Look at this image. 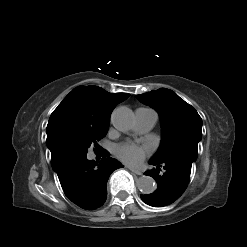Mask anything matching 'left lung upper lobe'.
I'll return each mask as SVG.
<instances>
[{
	"label": "left lung upper lobe",
	"mask_w": 247,
	"mask_h": 247,
	"mask_svg": "<svg viewBox=\"0 0 247 247\" xmlns=\"http://www.w3.org/2000/svg\"><path fill=\"white\" fill-rule=\"evenodd\" d=\"M142 103L153 107L160 115L162 141L155 161L181 158L197 159L198 142L202 138V119L197 111L172 90L160 88L136 95Z\"/></svg>",
	"instance_id": "obj_1"
}]
</instances>
